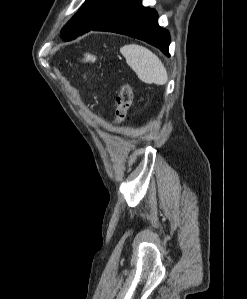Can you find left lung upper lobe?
<instances>
[{"label":"left lung upper lobe","instance_id":"5c2ea615","mask_svg":"<svg viewBox=\"0 0 247 299\" xmlns=\"http://www.w3.org/2000/svg\"><path fill=\"white\" fill-rule=\"evenodd\" d=\"M126 0H86L61 31V38L70 41L88 32Z\"/></svg>","mask_w":247,"mask_h":299}]
</instances>
